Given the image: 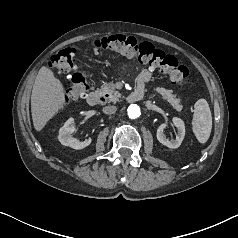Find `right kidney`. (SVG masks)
<instances>
[{"instance_id": "1", "label": "right kidney", "mask_w": 238, "mask_h": 238, "mask_svg": "<svg viewBox=\"0 0 238 238\" xmlns=\"http://www.w3.org/2000/svg\"><path fill=\"white\" fill-rule=\"evenodd\" d=\"M75 123L74 119H68L63 127L59 130L58 140L62 145L69 146L73 149L80 150L87 146H89L92 142V139L89 138L84 140L83 142L78 141L77 139L72 137V133L75 131Z\"/></svg>"}]
</instances>
